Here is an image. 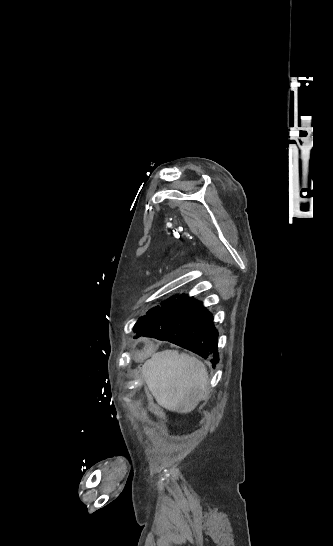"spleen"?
Here are the masks:
<instances>
[{
    "instance_id": "obj_1",
    "label": "spleen",
    "mask_w": 333,
    "mask_h": 546,
    "mask_svg": "<svg viewBox=\"0 0 333 546\" xmlns=\"http://www.w3.org/2000/svg\"><path fill=\"white\" fill-rule=\"evenodd\" d=\"M142 376L158 404L178 413L192 411L209 383L201 361L175 350L153 354L144 363Z\"/></svg>"
}]
</instances>
